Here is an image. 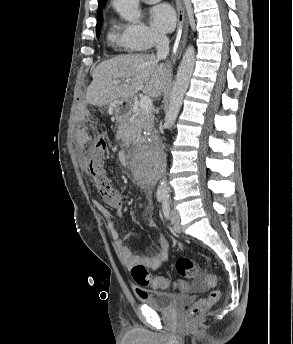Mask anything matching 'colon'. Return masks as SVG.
Segmentation results:
<instances>
[{
    "label": "colon",
    "instance_id": "obj_1",
    "mask_svg": "<svg viewBox=\"0 0 293 344\" xmlns=\"http://www.w3.org/2000/svg\"><path fill=\"white\" fill-rule=\"evenodd\" d=\"M107 146L108 143L104 137L97 138L88 155V169L103 200L110 206L118 207L121 204V196L105 171ZM175 268L183 278L199 279L203 275L202 267L186 257L179 258L175 263ZM130 274L138 287L152 286L165 289L169 285L166 279L152 276L144 266L132 267ZM213 280L214 275H209V281ZM175 286L181 290L188 289L187 285L181 280L177 281ZM220 296L221 292L219 290H213L208 297L198 300L188 309V316L194 318L209 310L219 300Z\"/></svg>",
    "mask_w": 293,
    "mask_h": 344
}]
</instances>
